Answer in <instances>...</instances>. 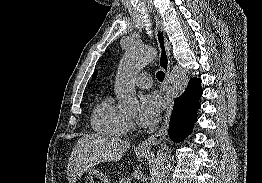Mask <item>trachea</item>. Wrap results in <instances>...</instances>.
<instances>
[{
  "label": "trachea",
  "instance_id": "obj_1",
  "mask_svg": "<svg viewBox=\"0 0 262 183\" xmlns=\"http://www.w3.org/2000/svg\"><path fill=\"white\" fill-rule=\"evenodd\" d=\"M156 77L160 82H162L164 80L165 74L163 71H158Z\"/></svg>",
  "mask_w": 262,
  "mask_h": 183
}]
</instances>
